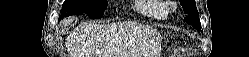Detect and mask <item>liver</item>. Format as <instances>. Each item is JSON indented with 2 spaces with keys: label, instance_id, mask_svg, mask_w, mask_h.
<instances>
[{
  "label": "liver",
  "instance_id": "obj_1",
  "mask_svg": "<svg viewBox=\"0 0 249 57\" xmlns=\"http://www.w3.org/2000/svg\"><path fill=\"white\" fill-rule=\"evenodd\" d=\"M69 41L73 57H134L149 44L159 50L156 30L130 22L88 23L73 32Z\"/></svg>",
  "mask_w": 249,
  "mask_h": 57
}]
</instances>
